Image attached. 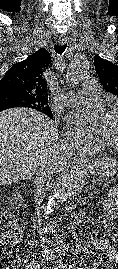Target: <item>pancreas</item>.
Here are the masks:
<instances>
[{"label": "pancreas", "instance_id": "1", "mask_svg": "<svg viewBox=\"0 0 118 269\" xmlns=\"http://www.w3.org/2000/svg\"><path fill=\"white\" fill-rule=\"evenodd\" d=\"M96 184H104L102 186L103 190H110L111 186L113 185V178L112 177H99V179H96Z\"/></svg>", "mask_w": 118, "mask_h": 269}]
</instances>
